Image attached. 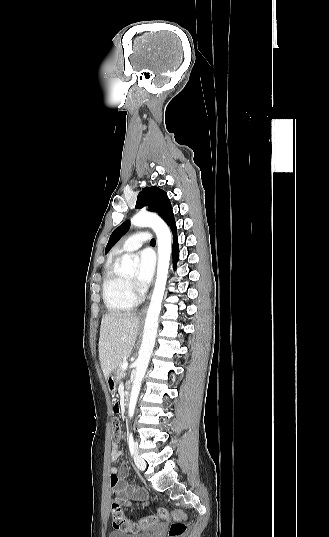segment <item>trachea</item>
<instances>
[{
  "label": "trachea",
  "mask_w": 329,
  "mask_h": 537,
  "mask_svg": "<svg viewBox=\"0 0 329 537\" xmlns=\"http://www.w3.org/2000/svg\"><path fill=\"white\" fill-rule=\"evenodd\" d=\"M150 244H151V245H155V244H156L155 240L152 239V240L150 241Z\"/></svg>",
  "instance_id": "3493384b"
}]
</instances>
